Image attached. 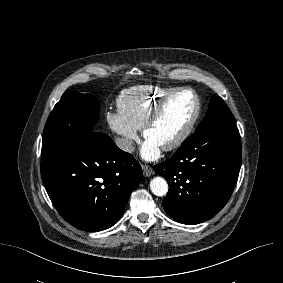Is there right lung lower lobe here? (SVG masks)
<instances>
[{
	"label": "right lung lower lobe",
	"mask_w": 283,
	"mask_h": 283,
	"mask_svg": "<svg viewBox=\"0 0 283 283\" xmlns=\"http://www.w3.org/2000/svg\"><path fill=\"white\" fill-rule=\"evenodd\" d=\"M40 170L58 213L83 231L113 226L143 176L139 162L100 132L76 139Z\"/></svg>",
	"instance_id": "98d812e1"
}]
</instances>
